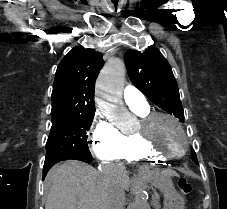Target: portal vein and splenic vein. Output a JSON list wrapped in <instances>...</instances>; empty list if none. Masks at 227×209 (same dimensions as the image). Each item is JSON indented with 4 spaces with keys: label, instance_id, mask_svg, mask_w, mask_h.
<instances>
[{
    "label": "portal vein and splenic vein",
    "instance_id": "obj_1",
    "mask_svg": "<svg viewBox=\"0 0 227 209\" xmlns=\"http://www.w3.org/2000/svg\"><path fill=\"white\" fill-rule=\"evenodd\" d=\"M151 199H152L153 201H156V200H157V197H156V196H153Z\"/></svg>",
    "mask_w": 227,
    "mask_h": 209
}]
</instances>
